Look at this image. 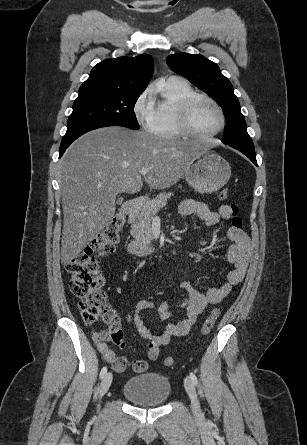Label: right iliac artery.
<instances>
[{
    "mask_svg": "<svg viewBox=\"0 0 307 445\" xmlns=\"http://www.w3.org/2000/svg\"><path fill=\"white\" fill-rule=\"evenodd\" d=\"M107 373V367H103L100 371V378L102 379Z\"/></svg>",
    "mask_w": 307,
    "mask_h": 445,
    "instance_id": "82829eb1",
    "label": "right iliac artery"
}]
</instances>
